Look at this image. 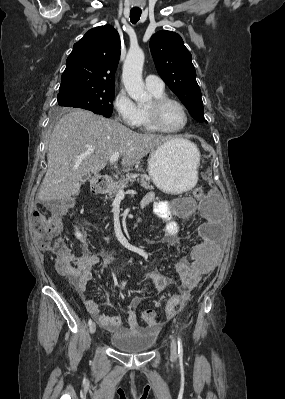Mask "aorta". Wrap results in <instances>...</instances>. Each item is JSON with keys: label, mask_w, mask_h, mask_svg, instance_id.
Instances as JSON below:
<instances>
[{"label": "aorta", "mask_w": 285, "mask_h": 399, "mask_svg": "<svg viewBox=\"0 0 285 399\" xmlns=\"http://www.w3.org/2000/svg\"><path fill=\"white\" fill-rule=\"evenodd\" d=\"M144 52L140 48L130 49L124 65L122 80L128 95L138 104L143 105L150 100L142 79Z\"/></svg>", "instance_id": "obj_1"}]
</instances>
